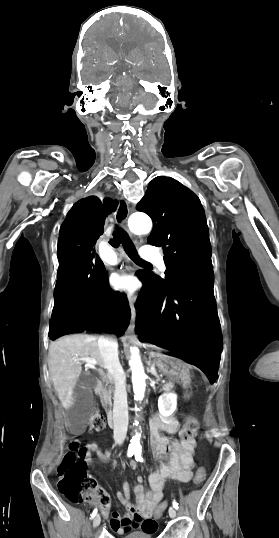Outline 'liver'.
<instances>
[{
    "label": "liver",
    "instance_id": "1",
    "mask_svg": "<svg viewBox=\"0 0 279 538\" xmlns=\"http://www.w3.org/2000/svg\"><path fill=\"white\" fill-rule=\"evenodd\" d=\"M93 358L100 368H104L97 336L72 334L51 342L48 352V366L53 386L65 410L73 406L74 388L82 370V360Z\"/></svg>",
    "mask_w": 279,
    "mask_h": 538
}]
</instances>
